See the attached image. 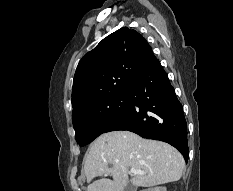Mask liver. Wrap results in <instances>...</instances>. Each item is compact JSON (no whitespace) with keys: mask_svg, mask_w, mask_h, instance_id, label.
Listing matches in <instances>:
<instances>
[{"mask_svg":"<svg viewBox=\"0 0 233 191\" xmlns=\"http://www.w3.org/2000/svg\"><path fill=\"white\" fill-rule=\"evenodd\" d=\"M184 167L180 152L165 142L144 139L130 131H111L91 144L84 171L87 191H123L129 182V168L145 173L132 176L134 186L152 187L178 181ZM102 175H110L113 180L102 178L92 182Z\"/></svg>","mask_w":233,"mask_h":191,"instance_id":"6515ba94","label":"liver"}]
</instances>
